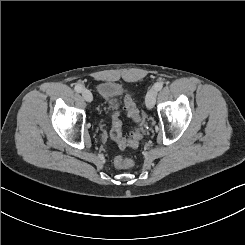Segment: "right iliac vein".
<instances>
[{
    "label": "right iliac vein",
    "mask_w": 245,
    "mask_h": 245,
    "mask_svg": "<svg viewBox=\"0 0 245 245\" xmlns=\"http://www.w3.org/2000/svg\"><path fill=\"white\" fill-rule=\"evenodd\" d=\"M82 96L84 97V99L87 101V102H92V99H93V96H92V93L87 90V89H84L82 91Z\"/></svg>",
    "instance_id": "63e3f726"
}]
</instances>
